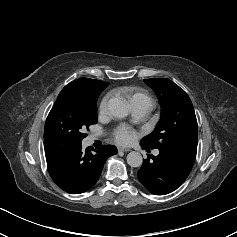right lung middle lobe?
<instances>
[{
    "label": "right lung middle lobe",
    "instance_id": "dd1d6c3e",
    "mask_svg": "<svg viewBox=\"0 0 237 237\" xmlns=\"http://www.w3.org/2000/svg\"><path fill=\"white\" fill-rule=\"evenodd\" d=\"M99 94H89L78 87L66 85L47 117L44 140L80 143L87 136L83 131L97 123Z\"/></svg>",
    "mask_w": 237,
    "mask_h": 237
}]
</instances>
